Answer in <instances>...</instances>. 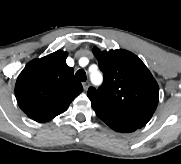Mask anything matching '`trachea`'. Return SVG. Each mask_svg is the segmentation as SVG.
<instances>
[{
    "label": "trachea",
    "mask_w": 181,
    "mask_h": 164,
    "mask_svg": "<svg viewBox=\"0 0 181 164\" xmlns=\"http://www.w3.org/2000/svg\"><path fill=\"white\" fill-rule=\"evenodd\" d=\"M75 78L79 81H86V72L82 69L78 70L76 73H75Z\"/></svg>",
    "instance_id": "obj_1"
}]
</instances>
